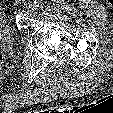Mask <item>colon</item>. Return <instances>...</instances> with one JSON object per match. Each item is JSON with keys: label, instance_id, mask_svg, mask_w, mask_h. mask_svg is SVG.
Listing matches in <instances>:
<instances>
[{"label": "colon", "instance_id": "colon-1", "mask_svg": "<svg viewBox=\"0 0 113 113\" xmlns=\"http://www.w3.org/2000/svg\"><path fill=\"white\" fill-rule=\"evenodd\" d=\"M3 61H4V55L0 52V67L2 66Z\"/></svg>", "mask_w": 113, "mask_h": 113}]
</instances>
